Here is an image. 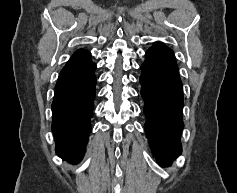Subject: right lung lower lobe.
<instances>
[{
	"label": "right lung lower lobe",
	"instance_id": "1",
	"mask_svg": "<svg viewBox=\"0 0 237 193\" xmlns=\"http://www.w3.org/2000/svg\"><path fill=\"white\" fill-rule=\"evenodd\" d=\"M90 56L84 49L72 55L60 72L52 103L56 153L71 163L82 159L91 129L96 65Z\"/></svg>",
	"mask_w": 237,
	"mask_h": 193
}]
</instances>
